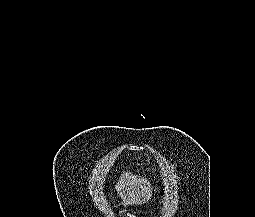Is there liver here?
Wrapping results in <instances>:
<instances>
[{
	"label": "liver",
	"mask_w": 255,
	"mask_h": 217,
	"mask_svg": "<svg viewBox=\"0 0 255 217\" xmlns=\"http://www.w3.org/2000/svg\"><path fill=\"white\" fill-rule=\"evenodd\" d=\"M101 183H92L90 190L97 191L101 189ZM115 189L123 202L133 205H141L148 202L152 196V187L150 182L144 177H138L130 172H123Z\"/></svg>",
	"instance_id": "liver-1"
}]
</instances>
